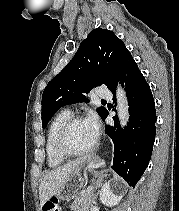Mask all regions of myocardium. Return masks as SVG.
Here are the masks:
<instances>
[{"label": "myocardium", "instance_id": "f54148a6", "mask_svg": "<svg viewBox=\"0 0 179 211\" xmlns=\"http://www.w3.org/2000/svg\"><path fill=\"white\" fill-rule=\"evenodd\" d=\"M81 121H84V119L80 116L70 117L62 125V127L59 130L57 140H56V149H57V152L65 159L87 156V155L91 154L92 152H94L98 146V141L96 139L95 142L93 143V145L86 150L76 152L69 148V145H68L69 134H70L73 126L76 123L81 122Z\"/></svg>", "mask_w": 179, "mask_h": 211}]
</instances>
